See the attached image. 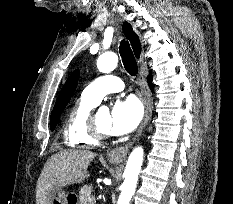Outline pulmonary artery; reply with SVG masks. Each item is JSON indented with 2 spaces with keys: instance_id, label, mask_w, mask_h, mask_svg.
<instances>
[{
  "instance_id": "pulmonary-artery-1",
  "label": "pulmonary artery",
  "mask_w": 233,
  "mask_h": 204,
  "mask_svg": "<svg viewBox=\"0 0 233 204\" xmlns=\"http://www.w3.org/2000/svg\"><path fill=\"white\" fill-rule=\"evenodd\" d=\"M124 89L123 81L115 75H104L85 87L82 95L88 100L98 104L108 93L119 92Z\"/></svg>"
}]
</instances>
